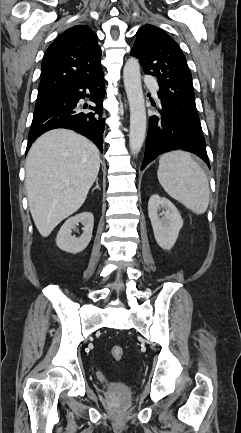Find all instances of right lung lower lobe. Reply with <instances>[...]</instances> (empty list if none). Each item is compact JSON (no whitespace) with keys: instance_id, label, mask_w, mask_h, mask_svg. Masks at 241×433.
I'll use <instances>...</instances> for the list:
<instances>
[{"instance_id":"98d812e1","label":"right lung lower lobe","mask_w":241,"mask_h":433,"mask_svg":"<svg viewBox=\"0 0 241 433\" xmlns=\"http://www.w3.org/2000/svg\"><path fill=\"white\" fill-rule=\"evenodd\" d=\"M86 89L91 93L90 100L96 104L95 107L89 106V109L95 112L84 111L83 108L87 106L82 108L78 104L81 98L88 96L85 94ZM104 95L103 73L86 82L71 83L57 90L50 99L34 110L26 153L41 134L55 128L72 129L92 140L102 151L105 119L101 117L100 107Z\"/></svg>"}]
</instances>
